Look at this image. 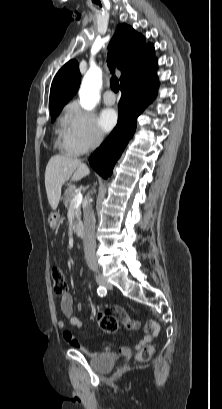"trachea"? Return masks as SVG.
<instances>
[{
    "instance_id": "obj_1",
    "label": "trachea",
    "mask_w": 222,
    "mask_h": 409,
    "mask_svg": "<svg viewBox=\"0 0 222 409\" xmlns=\"http://www.w3.org/2000/svg\"><path fill=\"white\" fill-rule=\"evenodd\" d=\"M107 62H108L109 70L111 71L112 74H114V72H115V63H114V60H113V57H112L111 54H108ZM110 82H111L112 90L115 93H117L118 90H119V81H118L117 77L112 76Z\"/></svg>"
}]
</instances>
